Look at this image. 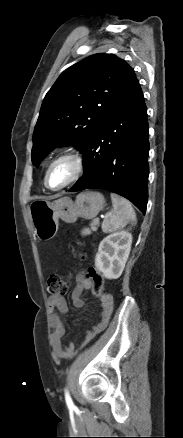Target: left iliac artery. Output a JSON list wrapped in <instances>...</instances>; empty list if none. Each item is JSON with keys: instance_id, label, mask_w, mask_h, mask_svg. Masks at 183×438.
Segmentation results:
<instances>
[{"instance_id": "obj_1", "label": "left iliac artery", "mask_w": 183, "mask_h": 438, "mask_svg": "<svg viewBox=\"0 0 183 438\" xmlns=\"http://www.w3.org/2000/svg\"><path fill=\"white\" fill-rule=\"evenodd\" d=\"M65 400H66V403H67L68 407H73L74 406L73 401H72V399H71V397H70V395H69L67 390L65 391Z\"/></svg>"}]
</instances>
